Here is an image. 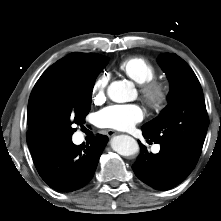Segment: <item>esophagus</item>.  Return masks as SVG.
I'll list each match as a JSON object with an SVG mask.
<instances>
[{
  "label": "esophagus",
  "mask_w": 221,
  "mask_h": 221,
  "mask_svg": "<svg viewBox=\"0 0 221 221\" xmlns=\"http://www.w3.org/2000/svg\"><path fill=\"white\" fill-rule=\"evenodd\" d=\"M106 134L109 136V137H112L116 134V132L114 130H106Z\"/></svg>",
  "instance_id": "esophagus-1"
}]
</instances>
